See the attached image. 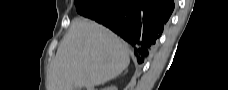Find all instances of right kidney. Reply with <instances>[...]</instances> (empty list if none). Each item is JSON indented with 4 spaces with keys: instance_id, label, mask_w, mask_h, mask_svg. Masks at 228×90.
<instances>
[{
    "instance_id": "obj_1",
    "label": "right kidney",
    "mask_w": 228,
    "mask_h": 90,
    "mask_svg": "<svg viewBox=\"0 0 228 90\" xmlns=\"http://www.w3.org/2000/svg\"><path fill=\"white\" fill-rule=\"evenodd\" d=\"M104 90H117L116 86H110L108 88H104Z\"/></svg>"
}]
</instances>
